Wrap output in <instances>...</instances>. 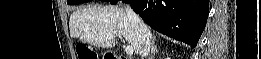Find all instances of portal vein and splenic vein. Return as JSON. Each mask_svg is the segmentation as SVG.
Instances as JSON below:
<instances>
[{
    "mask_svg": "<svg viewBox=\"0 0 261 59\" xmlns=\"http://www.w3.org/2000/svg\"><path fill=\"white\" fill-rule=\"evenodd\" d=\"M125 52H126V54H128V55H132V54L134 53V49H133L132 46H127V47L125 48Z\"/></svg>",
    "mask_w": 261,
    "mask_h": 59,
    "instance_id": "portal-vein-and-splenic-vein-1",
    "label": "portal vein and splenic vein"
}]
</instances>
